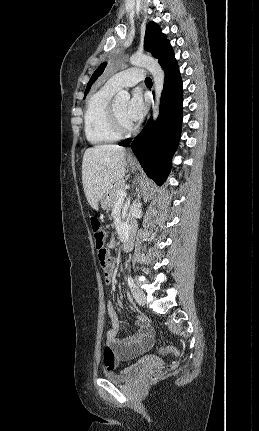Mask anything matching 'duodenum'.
Returning a JSON list of instances; mask_svg holds the SVG:
<instances>
[{
	"mask_svg": "<svg viewBox=\"0 0 259 431\" xmlns=\"http://www.w3.org/2000/svg\"><path fill=\"white\" fill-rule=\"evenodd\" d=\"M135 234V227L133 224H130L122 233L123 238V249L130 250L133 245V237Z\"/></svg>",
	"mask_w": 259,
	"mask_h": 431,
	"instance_id": "410a0bca",
	"label": "duodenum"
}]
</instances>
